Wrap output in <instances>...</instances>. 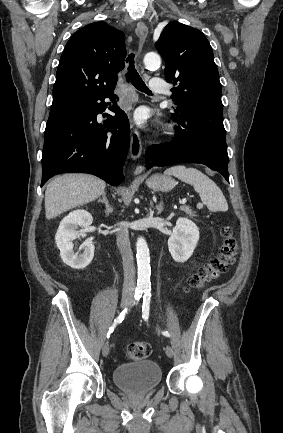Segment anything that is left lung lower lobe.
I'll use <instances>...</instances> for the list:
<instances>
[{"mask_svg": "<svg viewBox=\"0 0 283 433\" xmlns=\"http://www.w3.org/2000/svg\"><path fill=\"white\" fill-rule=\"evenodd\" d=\"M174 139L146 151V168L177 163H202L229 182L225 129L213 125L180 124Z\"/></svg>", "mask_w": 283, "mask_h": 433, "instance_id": "0a47b994", "label": "left lung lower lobe"}]
</instances>
